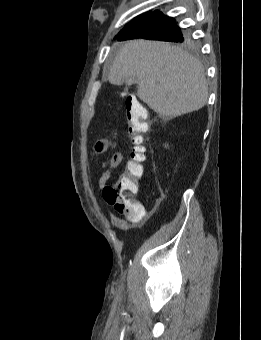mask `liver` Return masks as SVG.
<instances>
[{
	"label": "liver",
	"mask_w": 261,
	"mask_h": 340,
	"mask_svg": "<svg viewBox=\"0 0 261 340\" xmlns=\"http://www.w3.org/2000/svg\"><path fill=\"white\" fill-rule=\"evenodd\" d=\"M113 85L135 81L137 96L162 117L201 109L208 85L201 63L179 47L143 39L125 43L108 74Z\"/></svg>",
	"instance_id": "liver-1"
}]
</instances>
